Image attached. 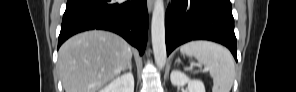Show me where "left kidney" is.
I'll return each instance as SVG.
<instances>
[{
    "mask_svg": "<svg viewBox=\"0 0 296 92\" xmlns=\"http://www.w3.org/2000/svg\"><path fill=\"white\" fill-rule=\"evenodd\" d=\"M170 80L174 86H184L187 84L189 92H205L202 81L196 79L192 80L179 70H173L171 72Z\"/></svg>",
    "mask_w": 296,
    "mask_h": 92,
    "instance_id": "left-kidney-1",
    "label": "left kidney"
}]
</instances>
